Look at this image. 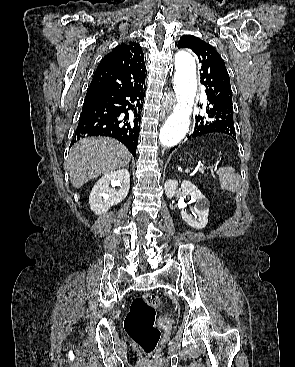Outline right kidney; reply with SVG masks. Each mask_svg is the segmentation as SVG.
I'll return each instance as SVG.
<instances>
[{"mask_svg": "<svg viewBox=\"0 0 295 367\" xmlns=\"http://www.w3.org/2000/svg\"><path fill=\"white\" fill-rule=\"evenodd\" d=\"M112 185V188L109 185ZM119 186V189L115 187ZM130 188V173L127 169H119L105 174L94 185L90 196L89 205L96 215L106 213L113 205L124 200Z\"/></svg>", "mask_w": 295, "mask_h": 367, "instance_id": "ca27d5eb", "label": "right kidney"}]
</instances>
